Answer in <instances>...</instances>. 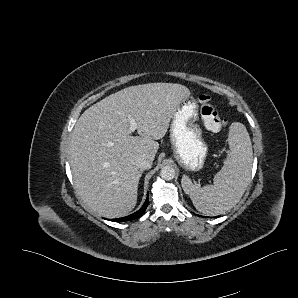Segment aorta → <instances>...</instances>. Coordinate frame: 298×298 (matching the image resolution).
Segmentation results:
<instances>
[{"label":"aorta","mask_w":298,"mask_h":298,"mask_svg":"<svg viewBox=\"0 0 298 298\" xmlns=\"http://www.w3.org/2000/svg\"><path fill=\"white\" fill-rule=\"evenodd\" d=\"M160 176L166 181L173 180L176 176V171L172 166H163L160 170Z\"/></svg>","instance_id":"obj_1"}]
</instances>
